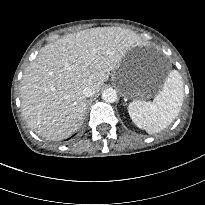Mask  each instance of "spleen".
<instances>
[{
    "mask_svg": "<svg viewBox=\"0 0 205 205\" xmlns=\"http://www.w3.org/2000/svg\"><path fill=\"white\" fill-rule=\"evenodd\" d=\"M183 80L177 70H172L165 79L163 88L152 102L134 100L128 105L134 124L150 134L158 133L178 116L183 100Z\"/></svg>",
    "mask_w": 205,
    "mask_h": 205,
    "instance_id": "obj_1",
    "label": "spleen"
}]
</instances>
